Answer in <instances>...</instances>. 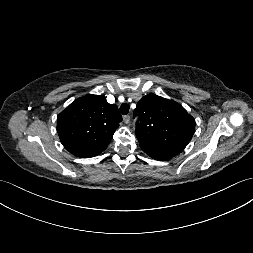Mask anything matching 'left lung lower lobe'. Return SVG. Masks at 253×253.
<instances>
[{
    "instance_id": "left-lung-lower-lobe-1",
    "label": "left lung lower lobe",
    "mask_w": 253,
    "mask_h": 253,
    "mask_svg": "<svg viewBox=\"0 0 253 253\" xmlns=\"http://www.w3.org/2000/svg\"><path fill=\"white\" fill-rule=\"evenodd\" d=\"M145 153L148 154L153 159H156V160H166V159L171 158V156H167L165 154H161V153H158V152H148V151H145Z\"/></svg>"
}]
</instances>
